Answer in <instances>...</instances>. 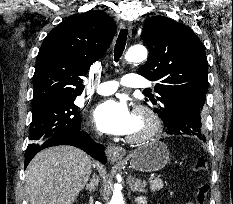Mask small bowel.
I'll use <instances>...</instances> for the list:
<instances>
[{
    "label": "small bowel",
    "instance_id": "c3829d8e",
    "mask_svg": "<svg viewBox=\"0 0 233 204\" xmlns=\"http://www.w3.org/2000/svg\"><path fill=\"white\" fill-rule=\"evenodd\" d=\"M186 204H192L191 202H187Z\"/></svg>",
    "mask_w": 233,
    "mask_h": 204
}]
</instances>
